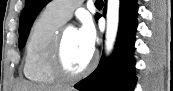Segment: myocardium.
Listing matches in <instances>:
<instances>
[{
    "label": "myocardium",
    "mask_w": 173,
    "mask_h": 91,
    "mask_svg": "<svg viewBox=\"0 0 173 91\" xmlns=\"http://www.w3.org/2000/svg\"><path fill=\"white\" fill-rule=\"evenodd\" d=\"M69 27H61L56 34L48 55V67L50 72L59 80L74 81L86 76L94 68L97 54L92 53L89 63L80 71L72 72L65 64L63 57V46L65 33Z\"/></svg>",
    "instance_id": "obj_1"
}]
</instances>
